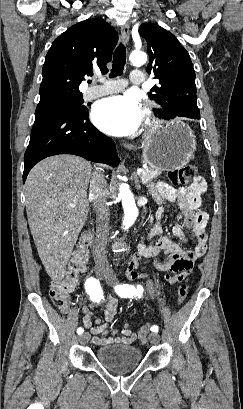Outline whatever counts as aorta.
I'll return each mask as SVG.
<instances>
[{
    "label": "aorta",
    "instance_id": "obj_1",
    "mask_svg": "<svg viewBox=\"0 0 243 409\" xmlns=\"http://www.w3.org/2000/svg\"><path fill=\"white\" fill-rule=\"evenodd\" d=\"M130 61L136 66H141L147 61V55L141 51H134L130 55ZM118 196L121 199L124 210L123 226L125 229H128L134 224L138 217L139 211L136 206L134 196L128 185H119Z\"/></svg>",
    "mask_w": 243,
    "mask_h": 409
}]
</instances>
